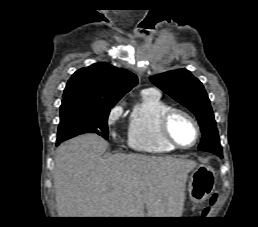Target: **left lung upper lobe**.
I'll list each match as a JSON object with an SVG mask.
<instances>
[{
  "instance_id": "5c2ea615",
  "label": "left lung upper lobe",
  "mask_w": 258,
  "mask_h": 227,
  "mask_svg": "<svg viewBox=\"0 0 258 227\" xmlns=\"http://www.w3.org/2000/svg\"><path fill=\"white\" fill-rule=\"evenodd\" d=\"M150 80L195 114L202 131L198 149L222 157L216 121L202 83L185 69L158 74L150 77Z\"/></svg>"
}]
</instances>
